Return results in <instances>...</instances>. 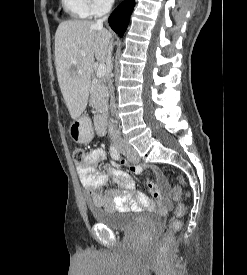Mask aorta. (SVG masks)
I'll return each mask as SVG.
<instances>
[{"label":"aorta","instance_id":"762f6f07","mask_svg":"<svg viewBox=\"0 0 247 275\" xmlns=\"http://www.w3.org/2000/svg\"><path fill=\"white\" fill-rule=\"evenodd\" d=\"M109 132H110L111 134H113V125H112V124L109 125Z\"/></svg>","mask_w":247,"mask_h":275}]
</instances>
